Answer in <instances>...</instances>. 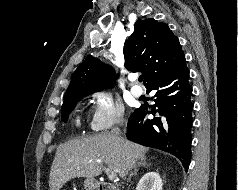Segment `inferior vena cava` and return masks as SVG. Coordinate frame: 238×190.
Returning <instances> with one entry per match:
<instances>
[{
    "label": "inferior vena cava",
    "mask_w": 238,
    "mask_h": 190,
    "mask_svg": "<svg viewBox=\"0 0 238 190\" xmlns=\"http://www.w3.org/2000/svg\"><path fill=\"white\" fill-rule=\"evenodd\" d=\"M113 134H114L117 138H119L120 130H119V129H114V130H113Z\"/></svg>",
    "instance_id": "inferior-vena-cava-1"
}]
</instances>
